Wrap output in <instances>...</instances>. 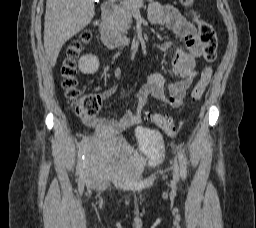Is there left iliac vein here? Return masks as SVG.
Wrapping results in <instances>:
<instances>
[{
	"label": "left iliac vein",
	"mask_w": 256,
	"mask_h": 228,
	"mask_svg": "<svg viewBox=\"0 0 256 228\" xmlns=\"http://www.w3.org/2000/svg\"><path fill=\"white\" fill-rule=\"evenodd\" d=\"M178 177V166L177 163L174 162L173 183H176L178 181Z\"/></svg>",
	"instance_id": "obj_1"
}]
</instances>
